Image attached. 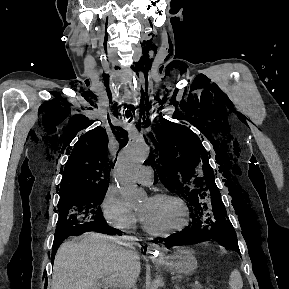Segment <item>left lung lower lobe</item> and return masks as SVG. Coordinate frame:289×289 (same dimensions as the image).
<instances>
[{
    "label": "left lung lower lobe",
    "mask_w": 289,
    "mask_h": 289,
    "mask_svg": "<svg viewBox=\"0 0 289 289\" xmlns=\"http://www.w3.org/2000/svg\"><path fill=\"white\" fill-rule=\"evenodd\" d=\"M199 237L212 238L216 241L215 231L213 227H209L208 225L201 226L194 222L192 223V225L186 227L179 234L171 235L164 241L170 246H182L195 243V241Z\"/></svg>",
    "instance_id": "0a47b994"
}]
</instances>
